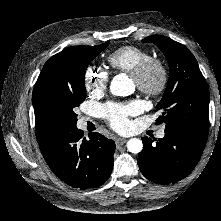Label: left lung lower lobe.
<instances>
[{
	"instance_id": "left-lung-lower-lobe-1",
	"label": "left lung lower lobe",
	"mask_w": 221,
	"mask_h": 221,
	"mask_svg": "<svg viewBox=\"0 0 221 221\" xmlns=\"http://www.w3.org/2000/svg\"><path fill=\"white\" fill-rule=\"evenodd\" d=\"M138 165L142 174L155 183H175L188 176L198 163L207 135L182 128L165 130L164 138L144 137Z\"/></svg>"
}]
</instances>
